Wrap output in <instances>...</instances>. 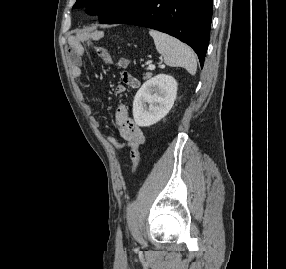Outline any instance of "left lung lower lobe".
Here are the masks:
<instances>
[{
	"instance_id": "0a47b994",
	"label": "left lung lower lobe",
	"mask_w": 286,
	"mask_h": 269,
	"mask_svg": "<svg viewBox=\"0 0 286 269\" xmlns=\"http://www.w3.org/2000/svg\"><path fill=\"white\" fill-rule=\"evenodd\" d=\"M213 0H145L116 23L165 32L191 46L204 64L209 43Z\"/></svg>"
}]
</instances>
